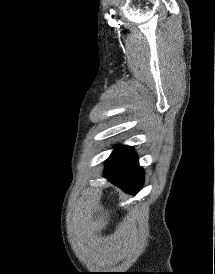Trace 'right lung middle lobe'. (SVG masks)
Masks as SVG:
<instances>
[{
  "instance_id": "right-lung-middle-lobe-1",
  "label": "right lung middle lobe",
  "mask_w": 215,
  "mask_h": 274,
  "mask_svg": "<svg viewBox=\"0 0 215 274\" xmlns=\"http://www.w3.org/2000/svg\"><path fill=\"white\" fill-rule=\"evenodd\" d=\"M132 150H133L132 147L125 146V145L116 147L106 161L107 167H111L114 164L125 159Z\"/></svg>"
}]
</instances>
